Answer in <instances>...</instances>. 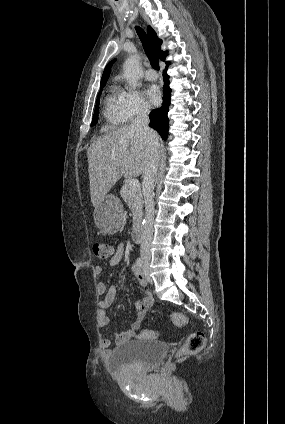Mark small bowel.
<instances>
[{
    "mask_svg": "<svg viewBox=\"0 0 285 424\" xmlns=\"http://www.w3.org/2000/svg\"><path fill=\"white\" fill-rule=\"evenodd\" d=\"M123 255H124V245L122 243H119L114 253L109 258V265L115 266L119 264L123 258ZM101 273H102V268L100 266H96L95 274L100 275ZM132 273L136 277L140 286L142 287L144 291V296L141 300L135 303L134 307L137 312V316L135 320L133 321L131 328L126 332L118 333L114 336L115 346H119L131 338L142 337L143 334L142 333L139 334V330L144 320L146 311H148L154 303L153 298L147 291V279L145 275L142 273L141 269L137 265H133ZM96 291L100 296H102L101 300L99 301V307L101 309L99 326L101 328H104L110 324V318L105 313V309L108 308L111 304H113L115 300L117 299V296L119 293V287L115 284H112L107 289V286L104 282H99L96 286ZM110 345H111L110 340L103 339L102 348L106 356H109L111 354Z\"/></svg>",
    "mask_w": 285,
    "mask_h": 424,
    "instance_id": "small-bowel-1",
    "label": "small bowel"
}]
</instances>
